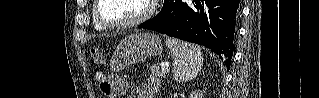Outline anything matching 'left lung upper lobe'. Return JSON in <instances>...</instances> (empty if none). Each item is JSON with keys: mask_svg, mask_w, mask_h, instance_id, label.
<instances>
[{"mask_svg": "<svg viewBox=\"0 0 319 98\" xmlns=\"http://www.w3.org/2000/svg\"><path fill=\"white\" fill-rule=\"evenodd\" d=\"M161 12H162V10L160 11V13L157 16H155L154 18L150 19L149 21H146L145 24L151 23V22L157 20L158 18H160Z\"/></svg>", "mask_w": 319, "mask_h": 98, "instance_id": "1", "label": "left lung upper lobe"}]
</instances>
